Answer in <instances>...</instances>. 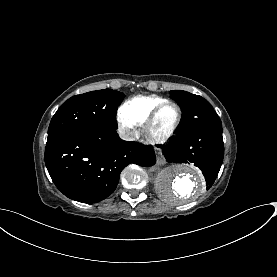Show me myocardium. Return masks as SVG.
Listing matches in <instances>:
<instances>
[{
	"mask_svg": "<svg viewBox=\"0 0 277 277\" xmlns=\"http://www.w3.org/2000/svg\"><path fill=\"white\" fill-rule=\"evenodd\" d=\"M174 106L177 111V118L173 125V127L164 135H155L152 133L153 127L157 121V118L160 114V112L166 108L167 106ZM182 121V111L180 106L174 102V101H165L160 103L158 106H156L153 111L151 112L148 119L145 121L143 125V132L145 133L146 137L153 143H163L169 140L178 130L180 124Z\"/></svg>",
	"mask_w": 277,
	"mask_h": 277,
	"instance_id": "myocardium-1",
	"label": "myocardium"
}]
</instances>
